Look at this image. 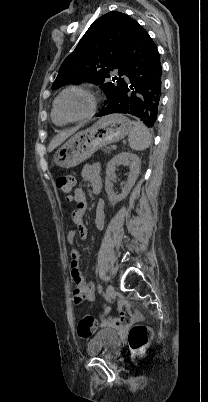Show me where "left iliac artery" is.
<instances>
[{"label": "left iliac artery", "mask_w": 208, "mask_h": 402, "mask_svg": "<svg viewBox=\"0 0 208 402\" xmlns=\"http://www.w3.org/2000/svg\"><path fill=\"white\" fill-rule=\"evenodd\" d=\"M102 290H103V288H102V286L99 284V285H98V292L101 293Z\"/></svg>", "instance_id": "44dca946"}]
</instances>
